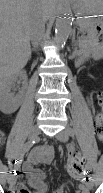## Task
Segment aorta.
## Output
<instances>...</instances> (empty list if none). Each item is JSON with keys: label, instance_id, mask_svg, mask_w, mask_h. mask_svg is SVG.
<instances>
[{"label": "aorta", "instance_id": "1", "mask_svg": "<svg viewBox=\"0 0 103 193\" xmlns=\"http://www.w3.org/2000/svg\"><path fill=\"white\" fill-rule=\"evenodd\" d=\"M72 26V11L69 0H60L57 8V18L55 22V41L63 44L67 41Z\"/></svg>", "mask_w": 103, "mask_h": 193}]
</instances>
